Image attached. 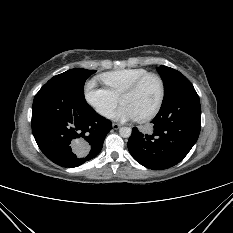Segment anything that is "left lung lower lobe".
Returning <instances> with one entry per match:
<instances>
[{"label":"left lung lower lobe","mask_w":233,"mask_h":233,"mask_svg":"<svg viewBox=\"0 0 233 233\" xmlns=\"http://www.w3.org/2000/svg\"><path fill=\"white\" fill-rule=\"evenodd\" d=\"M152 123V133H141L136 127L132 129L129 152L146 168H170L189 153L201 128L199 96L186 77L177 82Z\"/></svg>","instance_id":"obj_1"}]
</instances>
